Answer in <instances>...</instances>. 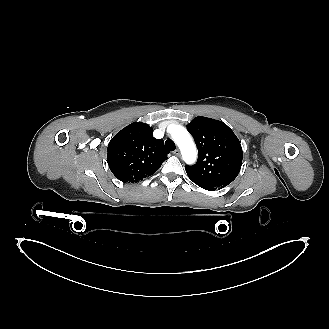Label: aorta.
<instances>
[{"label":"aorta","instance_id":"1","mask_svg":"<svg viewBox=\"0 0 329 329\" xmlns=\"http://www.w3.org/2000/svg\"><path fill=\"white\" fill-rule=\"evenodd\" d=\"M171 136L172 140L179 147L184 162L187 164L195 163L197 151L190 133L180 125H172Z\"/></svg>","mask_w":329,"mask_h":329}]
</instances>
